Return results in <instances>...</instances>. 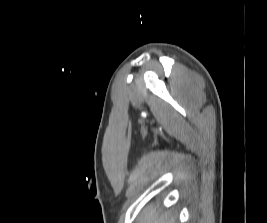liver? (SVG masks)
Listing matches in <instances>:
<instances>
[{"instance_id": "1", "label": "liver", "mask_w": 267, "mask_h": 223, "mask_svg": "<svg viewBox=\"0 0 267 223\" xmlns=\"http://www.w3.org/2000/svg\"><path fill=\"white\" fill-rule=\"evenodd\" d=\"M147 221L148 223H175V218L170 212H165L159 215L156 213L155 209L147 214Z\"/></svg>"}]
</instances>
